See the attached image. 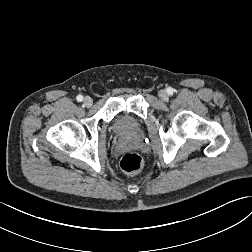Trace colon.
I'll return each mask as SVG.
<instances>
[{
	"label": "colon",
	"mask_w": 252,
	"mask_h": 252,
	"mask_svg": "<svg viewBox=\"0 0 252 252\" xmlns=\"http://www.w3.org/2000/svg\"><path fill=\"white\" fill-rule=\"evenodd\" d=\"M143 165V158L137 153H127L120 160L122 170L128 174L138 173Z\"/></svg>",
	"instance_id": "colon-1"
}]
</instances>
